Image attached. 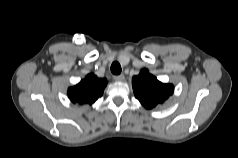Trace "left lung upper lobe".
Wrapping results in <instances>:
<instances>
[{"instance_id": "obj_1", "label": "left lung upper lobe", "mask_w": 238, "mask_h": 158, "mask_svg": "<svg viewBox=\"0 0 238 158\" xmlns=\"http://www.w3.org/2000/svg\"><path fill=\"white\" fill-rule=\"evenodd\" d=\"M132 86L135 97L147 109L163 103L173 94L172 84H164L151 75L147 69L141 70L138 76L133 77Z\"/></svg>"}]
</instances>
